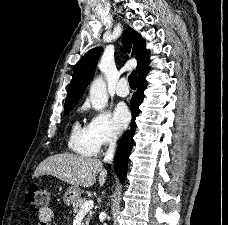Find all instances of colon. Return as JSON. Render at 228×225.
Instances as JSON below:
<instances>
[{
    "instance_id": "5ec220e1",
    "label": "colon",
    "mask_w": 228,
    "mask_h": 225,
    "mask_svg": "<svg viewBox=\"0 0 228 225\" xmlns=\"http://www.w3.org/2000/svg\"><path fill=\"white\" fill-rule=\"evenodd\" d=\"M26 200L35 213L39 215V212L44 211L49 202V194L44 187L35 185L29 186L26 190Z\"/></svg>"
}]
</instances>
